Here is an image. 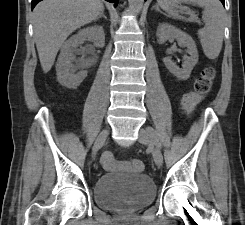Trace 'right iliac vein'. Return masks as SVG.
Returning <instances> with one entry per match:
<instances>
[{
  "mask_svg": "<svg viewBox=\"0 0 245 225\" xmlns=\"http://www.w3.org/2000/svg\"><path fill=\"white\" fill-rule=\"evenodd\" d=\"M108 135H109V130H107V129L103 130L99 134V136H98V138H97V140H96V142L94 144V147H93V155H95L96 152L100 149V147L105 144Z\"/></svg>",
  "mask_w": 245,
  "mask_h": 225,
  "instance_id": "obj_1",
  "label": "right iliac vein"
}]
</instances>
